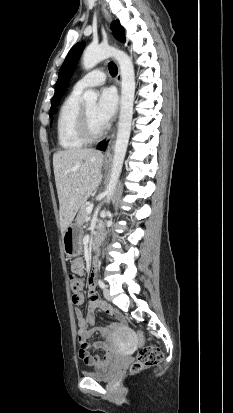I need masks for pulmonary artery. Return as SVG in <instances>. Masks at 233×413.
Masks as SVG:
<instances>
[{"label":"pulmonary artery","instance_id":"pulmonary-artery-1","mask_svg":"<svg viewBox=\"0 0 233 413\" xmlns=\"http://www.w3.org/2000/svg\"><path fill=\"white\" fill-rule=\"evenodd\" d=\"M106 80L104 69L97 68L82 76L74 85V89L83 91L88 87L101 85Z\"/></svg>","mask_w":233,"mask_h":413}]
</instances>
